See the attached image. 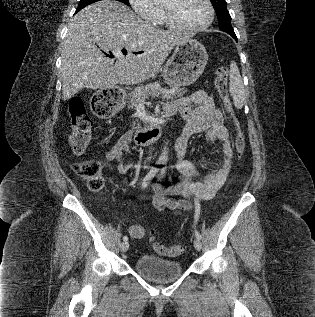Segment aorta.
<instances>
[{
	"label": "aorta",
	"mask_w": 315,
	"mask_h": 317,
	"mask_svg": "<svg viewBox=\"0 0 315 317\" xmlns=\"http://www.w3.org/2000/svg\"><path fill=\"white\" fill-rule=\"evenodd\" d=\"M155 2H159L160 0H154ZM168 152L166 151V147H164V149L162 150V154L160 156V160L162 161H166L168 158Z\"/></svg>",
	"instance_id": "obj_1"
}]
</instances>
